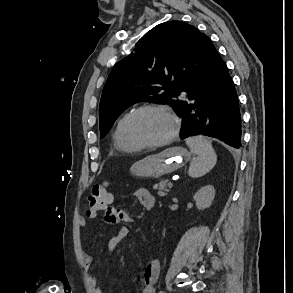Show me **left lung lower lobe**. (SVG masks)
<instances>
[{
    "instance_id": "0a47b994",
    "label": "left lung lower lobe",
    "mask_w": 293,
    "mask_h": 293,
    "mask_svg": "<svg viewBox=\"0 0 293 293\" xmlns=\"http://www.w3.org/2000/svg\"><path fill=\"white\" fill-rule=\"evenodd\" d=\"M178 114L180 138L205 135L239 148L241 115L237 93L227 66L211 44L200 81L187 91Z\"/></svg>"
}]
</instances>
